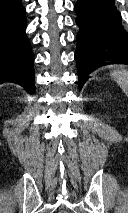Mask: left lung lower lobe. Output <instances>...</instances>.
I'll return each mask as SVG.
<instances>
[{
	"label": "left lung lower lobe",
	"instance_id": "left-lung-lower-lobe-1",
	"mask_svg": "<svg viewBox=\"0 0 128 213\" xmlns=\"http://www.w3.org/2000/svg\"><path fill=\"white\" fill-rule=\"evenodd\" d=\"M75 60L79 89L89 73L105 65L104 61L123 60L128 64V33L121 24L115 0H77Z\"/></svg>",
	"mask_w": 128,
	"mask_h": 213
}]
</instances>
